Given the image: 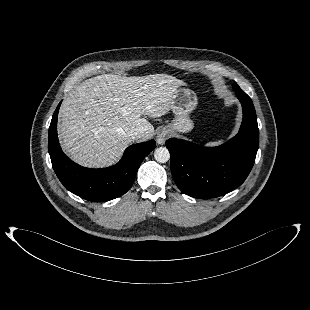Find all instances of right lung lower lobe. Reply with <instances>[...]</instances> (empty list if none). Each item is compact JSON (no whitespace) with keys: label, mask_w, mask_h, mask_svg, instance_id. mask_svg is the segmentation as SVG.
I'll return each instance as SVG.
<instances>
[{"label":"right lung lower lobe","mask_w":310,"mask_h":310,"mask_svg":"<svg viewBox=\"0 0 310 310\" xmlns=\"http://www.w3.org/2000/svg\"><path fill=\"white\" fill-rule=\"evenodd\" d=\"M56 108L48 132V150L53 169L66 189L75 195L92 201L105 202L126 193L134 182L143 159L155 148L150 140L128 147L122 159L111 167L90 169L70 160L61 150L57 137Z\"/></svg>","instance_id":"1"}]
</instances>
